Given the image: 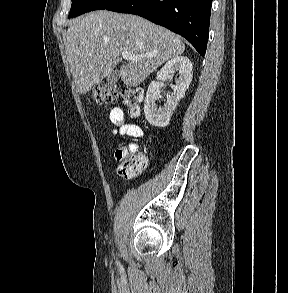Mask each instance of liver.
<instances>
[{"label":"liver","instance_id":"1","mask_svg":"<svg viewBox=\"0 0 288 293\" xmlns=\"http://www.w3.org/2000/svg\"><path fill=\"white\" fill-rule=\"evenodd\" d=\"M67 54L77 90L89 92L109 76L123 51L132 56L119 76L128 87H137L166 61L181 55L185 45L171 31L142 17L107 10L91 12L76 19L66 34Z\"/></svg>","mask_w":288,"mask_h":293}]
</instances>
